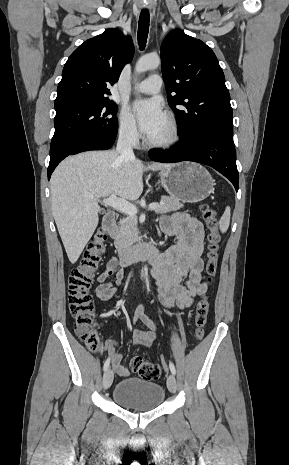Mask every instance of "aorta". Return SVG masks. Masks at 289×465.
I'll use <instances>...</instances> for the list:
<instances>
[{
	"instance_id": "1",
	"label": "aorta",
	"mask_w": 289,
	"mask_h": 465,
	"mask_svg": "<svg viewBox=\"0 0 289 465\" xmlns=\"http://www.w3.org/2000/svg\"><path fill=\"white\" fill-rule=\"evenodd\" d=\"M159 65L160 58L158 55H145L137 61L135 71L136 73L140 74L151 69H156ZM147 275L148 268L147 266H144V268L142 269V277L146 279Z\"/></svg>"
}]
</instances>
